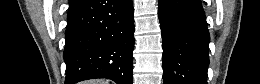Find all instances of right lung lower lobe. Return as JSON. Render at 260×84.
<instances>
[{
    "label": "right lung lower lobe",
    "mask_w": 260,
    "mask_h": 84,
    "mask_svg": "<svg viewBox=\"0 0 260 84\" xmlns=\"http://www.w3.org/2000/svg\"><path fill=\"white\" fill-rule=\"evenodd\" d=\"M132 0H80L67 15L65 84L108 78L132 84Z\"/></svg>",
    "instance_id": "obj_1"
}]
</instances>
